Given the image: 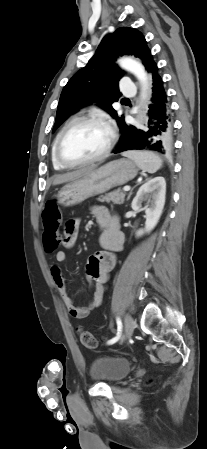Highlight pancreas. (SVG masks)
Wrapping results in <instances>:
<instances>
[{
  "instance_id": "pancreas-1",
  "label": "pancreas",
  "mask_w": 207,
  "mask_h": 449,
  "mask_svg": "<svg viewBox=\"0 0 207 449\" xmlns=\"http://www.w3.org/2000/svg\"><path fill=\"white\" fill-rule=\"evenodd\" d=\"M126 193L122 192L121 190H115L112 192L107 193L106 195H102L98 198V201L100 202H113L114 204H123L125 201Z\"/></svg>"
}]
</instances>
